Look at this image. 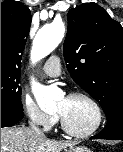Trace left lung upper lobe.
<instances>
[{
    "mask_svg": "<svg viewBox=\"0 0 123 152\" xmlns=\"http://www.w3.org/2000/svg\"><path fill=\"white\" fill-rule=\"evenodd\" d=\"M63 54L71 77L107 120L123 110V28L102 7L92 2L69 10Z\"/></svg>",
    "mask_w": 123,
    "mask_h": 152,
    "instance_id": "1",
    "label": "left lung upper lobe"
}]
</instances>
